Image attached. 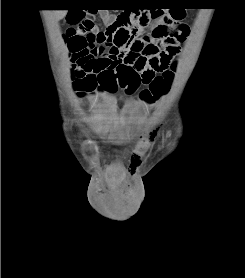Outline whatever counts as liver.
Wrapping results in <instances>:
<instances>
[{
  "instance_id": "liver-1",
  "label": "liver",
  "mask_w": 245,
  "mask_h": 278,
  "mask_svg": "<svg viewBox=\"0 0 245 278\" xmlns=\"http://www.w3.org/2000/svg\"><path fill=\"white\" fill-rule=\"evenodd\" d=\"M53 14L57 20H60L67 14V10H54Z\"/></svg>"
}]
</instances>
